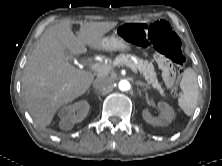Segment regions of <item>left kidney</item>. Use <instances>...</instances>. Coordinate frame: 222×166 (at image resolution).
I'll return each mask as SVG.
<instances>
[{"mask_svg": "<svg viewBox=\"0 0 222 166\" xmlns=\"http://www.w3.org/2000/svg\"><path fill=\"white\" fill-rule=\"evenodd\" d=\"M158 108L161 111L159 117H152L148 110L144 109L142 111L143 119L153 126H167L175 118L174 110L166 102H158Z\"/></svg>", "mask_w": 222, "mask_h": 166, "instance_id": "1", "label": "left kidney"}]
</instances>
